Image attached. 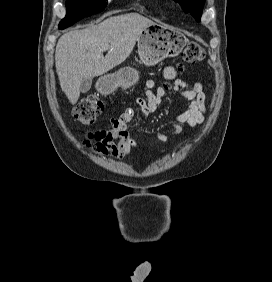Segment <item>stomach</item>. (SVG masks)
I'll list each match as a JSON object with an SVG mask.
<instances>
[{
  "instance_id": "0dacf381",
  "label": "stomach",
  "mask_w": 272,
  "mask_h": 282,
  "mask_svg": "<svg viewBox=\"0 0 272 282\" xmlns=\"http://www.w3.org/2000/svg\"><path fill=\"white\" fill-rule=\"evenodd\" d=\"M186 42L184 35L173 28L153 23L137 39L140 60L146 66H153L167 57L181 53ZM139 79V73L130 66L122 67L117 72L105 75L100 80V90L111 93L118 87L127 89Z\"/></svg>"
}]
</instances>
